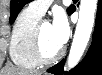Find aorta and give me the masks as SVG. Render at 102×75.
I'll list each match as a JSON object with an SVG mask.
<instances>
[{"label":"aorta","instance_id":"obj_1","mask_svg":"<svg viewBox=\"0 0 102 75\" xmlns=\"http://www.w3.org/2000/svg\"><path fill=\"white\" fill-rule=\"evenodd\" d=\"M96 9L97 0H81L79 19L67 60L68 69L76 66L84 53L94 25Z\"/></svg>","mask_w":102,"mask_h":75}]
</instances>
